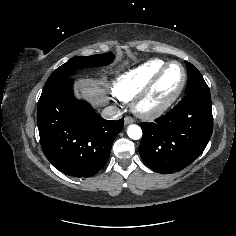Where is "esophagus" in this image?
<instances>
[{"mask_svg": "<svg viewBox=\"0 0 236 236\" xmlns=\"http://www.w3.org/2000/svg\"><path fill=\"white\" fill-rule=\"evenodd\" d=\"M134 122V119L133 118H131V117H125L124 118V123L126 124V125H128V124H131V123H133Z\"/></svg>", "mask_w": 236, "mask_h": 236, "instance_id": "1", "label": "esophagus"}]
</instances>
